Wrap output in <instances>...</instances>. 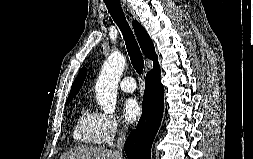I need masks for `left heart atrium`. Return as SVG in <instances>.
I'll return each instance as SVG.
<instances>
[{
  "mask_svg": "<svg viewBox=\"0 0 253 159\" xmlns=\"http://www.w3.org/2000/svg\"><path fill=\"white\" fill-rule=\"evenodd\" d=\"M141 106L134 98H127L122 103V116L127 123H134L140 117Z\"/></svg>",
  "mask_w": 253,
  "mask_h": 159,
  "instance_id": "39dd6f15",
  "label": "left heart atrium"
}]
</instances>
